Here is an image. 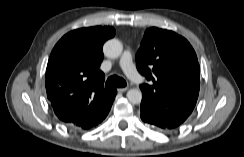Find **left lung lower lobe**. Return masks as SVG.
Listing matches in <instances>:
<instances>
[{
    "label": "left lung lower lobe",
    "instance_id": "left-lung-lower-lobe-1",
    "mask_svg": "<svg viewBox=\"0 0 244 157\" xmlns=\"http://www.w3.org/2000/svg\"><path fill=\"white\" fill-rule=\"evenodd\" d=\"M141 119L157 131H170L174 128L167 125L158 114L145 102H141Z\"/></svg>",
    "mask_w": 244,
    "mask_h": 157
}]
</instances>
